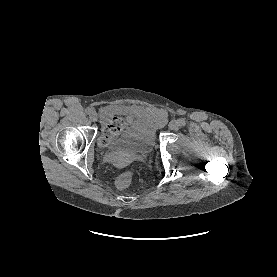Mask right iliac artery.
<instances>
[{"label": "right iliac artery", "mask_w": 277, "mask_h": 277, "mask_svg": "<svg viewBox=\"0 0 277 277\" xmlns=\"http://www.w3.org/2000/svg\"><path fill=\"white\" fill-rule=\"evenodd\" d=\"M85 112L86 114L90 115L92 113V110L90 108H86Z\"/></svg>", "instance_id": "82829eb1"}]
</instances>
